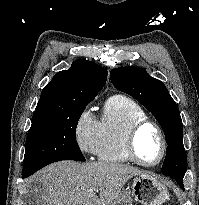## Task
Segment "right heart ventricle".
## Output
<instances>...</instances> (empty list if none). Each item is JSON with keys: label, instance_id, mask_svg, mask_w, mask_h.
Returning <instances> with one entry per match:
<instances>
[{"label": "right heart ventricle", "instance_id": "1", "mask_svg": "<svg viewBox=\"0 0 199 205\" xmlns=\"http://www.w3.org/2000/svg\"><path fill=\"white\" fill-rule=\"evenodd\" d=\"M146 118L143 108L131 98L124 95L108 98L98 123V160L110 164L130 163L125 150L126 134L133 123Z\"/></svg>", "mask_w": 199, "mask_h": 205}]
</instances>
